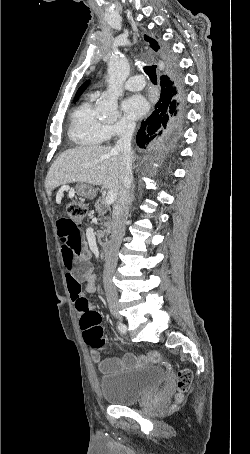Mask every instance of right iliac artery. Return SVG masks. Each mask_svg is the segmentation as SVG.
<instances>
[{"label":"right iliac artery","mask_w":250,"mask_h":454,"mask_svg":"<svg viewBox=\"0 0 250 454\" xmlns=\"http://www.w3.org/2000/svg\"><path fill=\"white\" fill-rule=\"evenodd\" d=\"M117 326H118V329L121 333H125L126 332V326L123 325L122 323L118 322L117 323Z\"/></svg>","instance_id":"obj_1"}]
</instances>
